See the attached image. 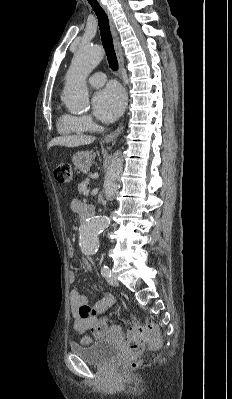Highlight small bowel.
Returning <instances> with one entry per match:
<instances>
[{
    "instance_id": "c3829d8e",
    "label": "small bowel",
    "mask_w": 232,
    "mask_h": 399,
    "mask_svg": "<svg viewBox=\"0 0 232 399\" xmlns=\"http://www.w3.org/2000/svg\"><path fill=\"white\" fill-rule=\"evenodd\" d=\"M79 203L76 199L71 202V208L76 210ZM69 249V257L75 259L77 257L76 248L72 240L67 242ZM81 260L84 259V255L80 256ZM88 270L92 272V268L88 267ZM70 285L76 283L75 274L69 275ZM93 289L96 293L103 295V298L99 300L95 305L90 306L85 296H82L77 291L72 290L69 292V311L70 316L73 319V326L75 329L81 332H89L95 334L97 337L103 339L109 337L113 333L120 331V325L118 323H112L106 325L97 321V316L103 315L106 311L111 308L115 303L113 295L102 292L101 289L94 284Z\"/></svg>"
}]
</instances>
